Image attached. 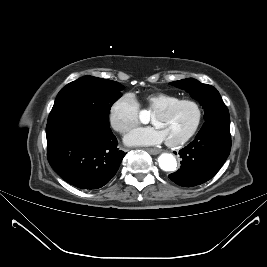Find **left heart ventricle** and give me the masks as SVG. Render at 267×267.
<instances>
[{
    "mask_svg": "<svg viewBox=\"0 0 267 267\" xmlns=\"http://www.w3.org/2000/svg\"><path fill=\"white\" fill-rule=\"evenodd\" d=\"M196 115L195 107L185 103L167 114H153L152 123L163 132L166 140H176L183 137L191 129Z\"/></svg>",
    "mask_w": 267,
    "mask_h": 267,
    "instance_id": "obj_1",
    "label": "left heart ventricle"
}]
</instances>
